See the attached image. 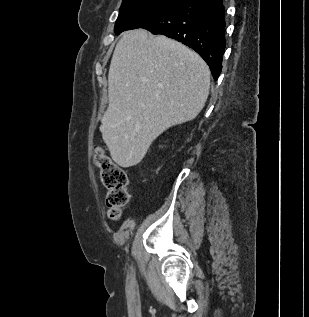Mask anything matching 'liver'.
I'll return each instance as SVG.
<instances>
[{
  "label": "liver",
  "mask_w": 309,
  "mask_h": 317,
  "mask_svg": "<svg viewBox=\"0 0 309 317\" xmlns=\"http://www.w3.org/2000/svg\"><path fill=\"white\" fill-rule=\"evenodd\" d=\"M209 88L208 65L185 45L144 29L123 33L100 126L112 159L121 167L138 164L160 134L201 112Z\"/></svg>",
  "instance_id": "6515ba94"
}]
</instances>
